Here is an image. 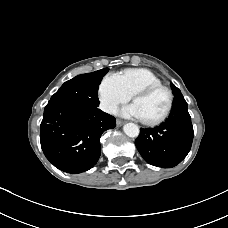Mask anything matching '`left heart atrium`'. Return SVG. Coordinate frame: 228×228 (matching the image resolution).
<instances>
[{"mask_svg": "<svg viewBox=\"0 0 228 228\" xmlns=\"http://www.w3.org/2000/svg\"><path fill=\"white\" fill-rule=\"evenodd\" d=\"M118 114L124 117H134L142 119L141 114L134 103L118 110Z\"/></svg>", "mask_w": 228, "mask_h": 228, "instance_id": "1", "label": "left heart atrium"}]
</instances>
